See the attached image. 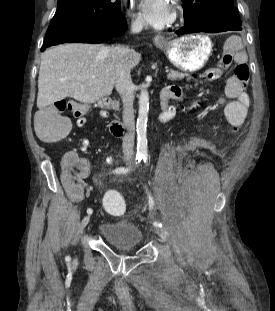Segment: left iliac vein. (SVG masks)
<instances>
[{
	"instance_id": "4c4485c4",
	"label": "left iliac vein",
	"mask_w": 275,
	"mask_h": 311,
	"mask_svg": "<svg viewBox=\"0 0 275 311\" xmlns=\"http://www.w3.org/2000/svg\"><path fill=\"white\" fill-rule=\"evenodd\" d=\"M156 234L163 239L164 241L168 240V232L164 228L157 227L155 228Z\"/></svg>"
}]
</instances>
